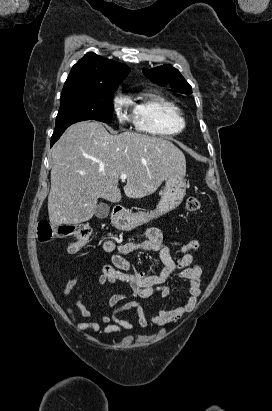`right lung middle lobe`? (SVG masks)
I'll use <instances>...</instances> for the list:
<instances>
[{
    "label": "right lung middle lobe",
    "mask_w": 272,
    "mask_h": 411,
    "mask_svg": "<svg viewBox=\"0 0 272 411\" xmlns=\"http://www.w3.org/2000/svg\"><path fill=\"white\" fill-rule=\"evenodd\" d=\"M118 84L85 91L61 93V103L52 138L59 137L73 123L97 120L110 123L113 117V93Z\"/></svg>",
    "instance_id": "1"
}]
</instances>
